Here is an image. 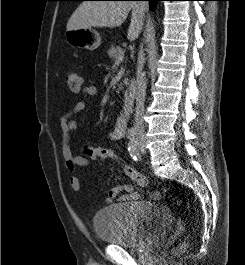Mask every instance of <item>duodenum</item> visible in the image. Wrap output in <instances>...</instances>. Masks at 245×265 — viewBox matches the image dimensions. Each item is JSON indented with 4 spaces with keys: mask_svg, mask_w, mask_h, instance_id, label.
Listing matches in <instances>:
<instances>
[{
    "mask_svg": "<svg viewBox=\"0 0 245 265\" xmlns=\"http://www.w3.org/2000/svg\"><path fill=\"white\" fill-rule=\"evenodd\" d=\"M137 96V87L132 83L124 92L123 98L127 105H133Z\"/></svg>",
    "mask_w": 245,
    "mask_h": 265,
    "instance_id": "obj_1",
    "label": "duodenum"
}]
</instances>
